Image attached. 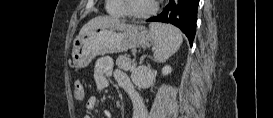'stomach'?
I'll return each instance as SVG.
<instances>
[{
    "label": "stomach",
    "mask_w": 273,
    "mask_h": 118,
    "mask_svg": "<svg viewBox=\"0 0 273 118\" xmlns=\"http://www.w3.org/2000/svg\"><path fill=\"white\" fill-rule=\"evenodd\" d=\"M153 38L141 25L116 21L79 35L73 42L72 60L77 68L87 67L98 55L148 48Z\"/></svg>",
    "instance_id": "1"
}]
</instances>
